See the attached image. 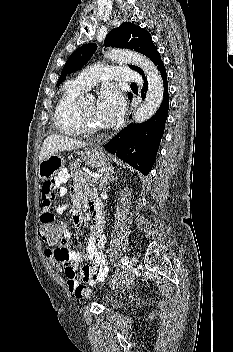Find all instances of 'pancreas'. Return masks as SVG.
I'll use <instances>...</instances> for the list:
<instances>
[{
	"label": "pancreas",
	"instance_id": "pancreas-1",
	"mask_svg": "<svg viewBox=\"0 0 233 352\" xmlns=\"http://www.w3.org/2000/svg\"><path fill=\"white\" fill-rule=\"evenodd\" d=\"M69 169L71 172V177L74 180L81 181V182H90L91 184L95 185L98 183V178H93L88 174L84 173L78 168L77 163H70Z\"/></svg>",
	"mask_w": 233,
	"mask_h": 352
}]
</instances>
